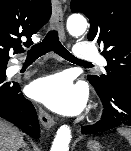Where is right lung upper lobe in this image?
<instances>
[{
  "instance_id": "right-lung-upper-lobe-1",
  "label": "right lung upper lobe",
  "mask_w": 131,
  "mask_h": 151,
  "mask_svg": "<svg viewBox=\"0 0 131 151\" xmlns=\"http://www.w3.org/2000/svg\"><path fill=\"white\" fill-rule=\"evenodd\" d=\"M50 15V0H0V63L8 62L10 52L20 53L23 45H32V35ZM22 36L27 38L24 43Z\"/></svg>"
}]
</instances>
